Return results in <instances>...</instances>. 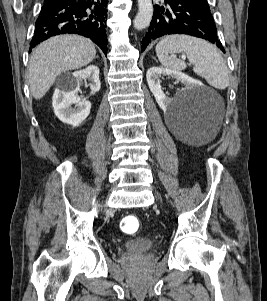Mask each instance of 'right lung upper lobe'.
<instances>
[{"instance_id":"obj_1","label":"right lung upper lobe","mask_w":267,"mask_h":301,"mask_svg":"<svg viewBox=\"0 0 267 301\" xmlns=\"http://www.w3.org/2000/svg\"><path fill=\"white\" fill-rule=\"evenodd\" d=\"M53 1H55V0H44V4H48V3H51Z\"/></svg>"}]
</instances>
